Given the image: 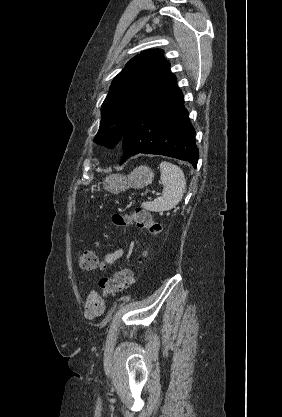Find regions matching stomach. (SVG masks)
<instances>
[{"label": "stomach", "instance_id": "stomach-1", "mask_svg": "<svg viewBox=\"0 0 282 417\" xmlns=\"http://www.w3.org/2000/svg\"><path fill=\"white\" fill-rule=\"evenodd\" d=\"M154 172L150 166H137L130 174H108L103 180L105 190L119 194L126 188H143L151 184Z\"/></svg>", "mask_w": 282, "mask_h": 417}]
</instances>
